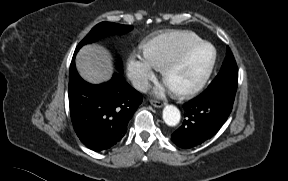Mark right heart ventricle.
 Masks as SVG:
<instances>
[{"mask_svg": "<svg viewBox=\"0 0 288 181\" xmlns=\"http://www.w3.org/2000/svg\"><path fill=\"white\" fill-rule=\"evenodd\" d=\"M203 42V39L192 31H168L150 38L144 45V54L156 65L163 68L185 49Z\"/></svg>", "mask_w": 288, "mask_h": 181, "instance_id": "obj_1", "label": "right heart ventricle"}]
</instances>
